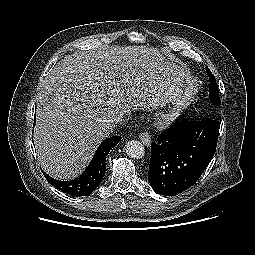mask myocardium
<instances>
[{
	"label": "myocardium",
	"instance_id": "myocardium-1",
	"mask_svg": "<svg viewBox=\"0 0 255 255\" xmlns=\"http://www.w3.org/2000/svg\"><path fill=\"white\" fill-rule=\"evenodd\" d=\"M181 115V111L178 109L171 110L166 116H165V123L171 124L175 122Z\"/></svg>",
	"mask_w": 255,
	"mask_h": 255
}]
</instances>
